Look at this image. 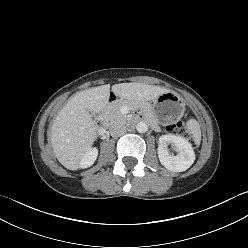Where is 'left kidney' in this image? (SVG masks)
Instances as JSON below:
<instances>
[{
	"instance_id": "obj_1",
	"label": "left kidney",
	"mask_w": 248,
	"mask_h": 248,
	"mask_svg": "<svg viewBox=\"0 0 248 248\" xmlns=\"http://www.w3.org/2000/svg\"><path fill=\"white\" fill-rule=\"evenodd\" d=\"M168 144L174 147L177 155L169 154L166 149ZM158 157L160 163L168 170L183 172L194 163L195 153L186 139L181 136L167 134L159 138Z\"/></svg>"
}]
</instances>
